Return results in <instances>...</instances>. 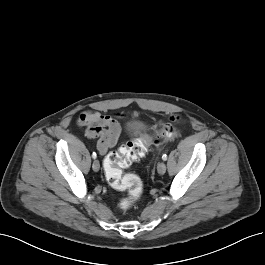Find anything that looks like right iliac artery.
I'll use <instances>...</instances> for the list:
<instances>
[{"instance_id":"82829eb1","label":"right iliac artery","mask_w":265,"mask_h":265,"mask_svg":"<svg viewBox=\"0 0 265 265\" xmlns=\"http://www.w3.org/2000/svg\"><path fill=\"white\" fill-rule=\"evenodd\" d=\"M97 157V155H96V153L95 152H93V154H92V158H96Z\"/></svg>"}]
</instances>
